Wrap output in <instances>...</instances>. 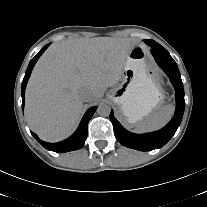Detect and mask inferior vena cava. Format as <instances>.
I'll return each instance as SVG.
<instances>
[{
	"instance_id": "1",
	"label": "inferior vena cava",
	"mask_w": 207,
	"mask_h": 207,
	"mask_svg": "<svg viewBox=\"0 0 207 207\" xmlns=\"http://www.w3.org/2000/svg\"><path fill=\"white\" fill-rule=\"evenodd\" d=\"M81 97L84 101H88V99L90 98V94L89 92H83Z\"/></svg>"
}]
</instances>
